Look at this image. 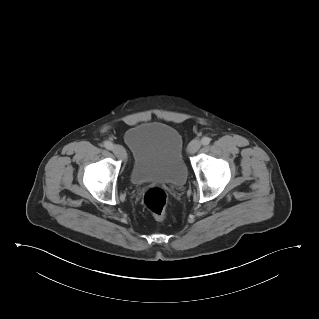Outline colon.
<instances>
[{
    "mask_svg": "<svg viewBox=\"0 0 319 319\" xmlns=\"http://www.w3.org/2000/svg\"><path fill=\"white\" fill-rule=\"evenodd\" d=\"M168 196L160 187L148 189L144 195V204L151 214L158 220H163L166 216Z\"/></svg>",
    "mask_w": 319,
    "mask_h": 319,
    "instance_id": "5ec220e1",
    "label": "colon"
}]
</instances>
